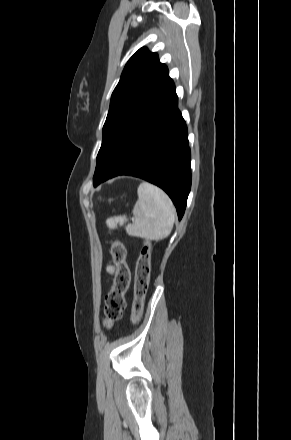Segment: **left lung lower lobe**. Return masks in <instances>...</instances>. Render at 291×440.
Returning a JSON list of instances; mask_svg holds the SVG:
<instances>
[{
	"mask_svg": "<svg viewBox=\"0 0 291 440\" xmlns=\"http://www.w3.org/2000/svg\"><path fill=\"white\" fill-rule=\"evenodd\" d=\"M188 133L173 81L127 127L115 143L94 186L118 176L142 178L162 188L182 218L191 188Z\"/></svg>",
	"mask_w": 291,
	"mask_h": 440,
	"instance_id": "0a47b994",
	"label": "left lung lower lobe"
}]
</instances>
